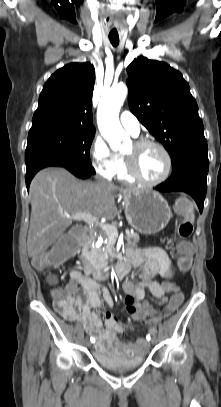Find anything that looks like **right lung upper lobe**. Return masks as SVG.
<instances>
[{
	"label": "right lung upper lobe",
	"mask_w": 221,
	"mask_h": 407,
	"mask_svg": "<svg viewBox=\"0 0 221 407\" xmlns=\"http://www.w3.org/2000/svg\"><path fill=\"white\" fill-rule=\"evenodd\" d=\"M94 82L95 69L88 62L57 70L43 87L30 130L69 127L95 131L91 112Z\"/></svg>",
	"instance_id": "1"
}]
</instances>
